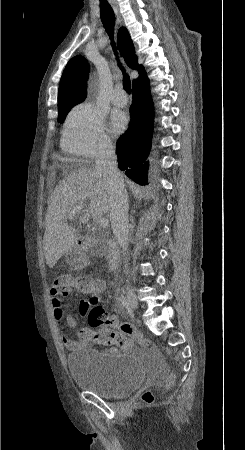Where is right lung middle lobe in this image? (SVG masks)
I'll list each match as a JSON object with an SVG mask.
<instances>
[{
    "mask_svg": "<svg viewBox=\"0 0 245 450\" xmlns=\"http://www.w3.org/2000/svg\"><path fill=\"white\" fill-rule=\"evenodd\" d=\"M76 104L77 103H67V104H64V105H61V106L58 107V111H59V114H58L59 118H58V120H59V122H62L64 120L65 115Z\"/></svg>",
    "mask_w": 245,
    "mask_h": 450,
    "instance_id": "1",
    "label": "right lung middle lobe"
}]
</instances>
